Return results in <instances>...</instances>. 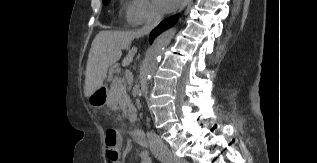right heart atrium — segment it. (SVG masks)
Wrapping results in <instances>:
<instances>
[{
  "label": "right heart atrium",
  "mask_w": 317,
  "mask_h": 163,
  "mask_svg": "<svg viewBox=\"0 0 317 163\" xmlns=\"http://www.w3.org/2000/svg\"><path fill=\"white\" fill-rule=\"evenodd\" d=\"M123 13L130 26H140L160 17L158 9L150 0H125Z\"/></svg>",
  "instance_id": "d8ad5b80"
}]
</instances>
